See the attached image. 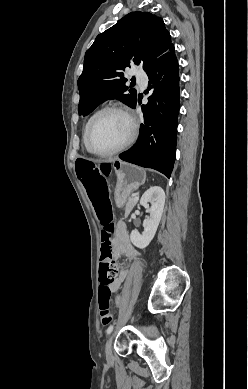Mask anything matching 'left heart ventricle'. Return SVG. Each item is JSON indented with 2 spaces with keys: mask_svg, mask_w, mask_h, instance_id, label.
I'll use <instances>...</instances> for the list:
<instances>
[{
  "mask_svg": "<svg viewBox=\"0 0 248 389\" xmlns=\"http://www.w3.org/2000/svg\"><path fill=\"white\" fill-rule=\"evenodd\" d=\"M130 133V124L121 114L111 112L100 117L89 135L90 147L99 152L112 150L122 144Z\"/></svg>",
  "mask_w": 248,
  "mask_h": 389,
  "instance_id": "1",
  "label": "left heart ventricle"
}]
</instances>
